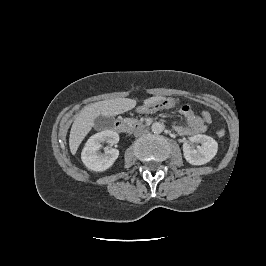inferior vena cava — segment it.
Masks as SVG:
<instances>
[{
    "label": "inferior vena cava",
    "mask_w": 266,
    "mask_h": 266,
    "mask_svg": "<svg viewBox=\"0 0 266 266\" xmlns=\"http://www.w3.org/2000/svg\"><path fill=\"white\" fill-rule=\"evenodd\" d=\"M145 130L144 129H137L135 132H134V135L136 136V137H138V136H140L143 132H144Z\"/></svg>",
    "instance_id": "602c4592"
}]
</instances>
